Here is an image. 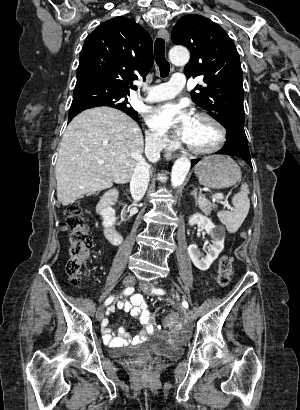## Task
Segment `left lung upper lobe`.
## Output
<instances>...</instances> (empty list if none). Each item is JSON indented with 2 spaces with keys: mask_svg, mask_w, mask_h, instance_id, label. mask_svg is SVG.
<instances>
[{
  "mask_svg": "<svg viewBox=\"0 0 300 410\" xmlns=\"http://www.w3.org/2000/svg\"><path fill=\"white\" fill-rule=\"evenodd\" d=\"M172 41L191 52L184 68L186 77H204L205 86L197 85L191 92L193 102L226 129L244 130L242 69L239 54L228 34L208 18L191 14L177 21Z\"/></svg>",
  "mask_w": 300,
  "mask_h": 410,
  "instance_id": "left-lung-upper-lobe-1",
  "label": "left lung upper lobe"
}]
</instances>
